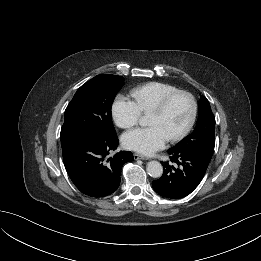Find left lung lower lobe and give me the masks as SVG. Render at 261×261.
<instances>
[{
    "label": "left lung lower lobe",
    "mask_w": 261,
    "mask_h": 261,
    "mask_svg": "<svg viewBox=\"0 0 261 261\" xmlns=\"http://www.w3.org/2000/svg\"><path fill=\"white\" fill-rule=\"evenodd\" d=\"M170 162H164V173L152 182L153 189L162 197L179 199L195 190L203 179L209 162L186 150L169 149Z\"/></svg>",
    "instance_id": "obj_1"
}]
</instances>
